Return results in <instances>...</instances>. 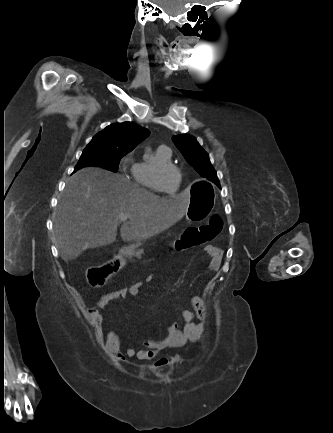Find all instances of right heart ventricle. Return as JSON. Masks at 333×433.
<instances>
[{"instance_id": "e07e8e85", "label": "right heart ventricle", "mask_w": 333, "mask_h": 433, "mask_svg": "<svg viewBox=\"0 0 333 433\" xmlns=\"http://www.w3.org/2000/svg\"><path fill=\"white\" fill-rule=\"evenodd\" d=\"M171 163V154L159 148L155 152L153 162H139L137 163L136 171L134 174L135 182L154 193H161L154 179L155 168L160 164Z\"/></svg>"}]
</instances>
